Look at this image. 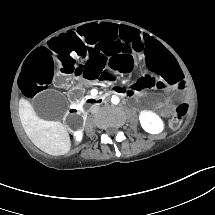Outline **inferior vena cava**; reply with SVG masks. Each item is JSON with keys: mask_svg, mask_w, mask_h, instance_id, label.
Returning a JSON list of instances; mask_svg holds the SVG:
<instances>
[{"mask_svg": "<svg viewBox=\"0 0 215 215\" xmlns=\"http://www.w3.org/2000/svg\"><path fill=\"white\" fill-rule=\"evenodd\" d=\"M100 106L99 105H92L91 108H90V112L91 113H96L98 112Z\"/></svg>", "mask_w": 215, "mask_h": 215, "instance_id": "inferior-vena-cava-1", "label": "inferior vena cava"}]
</instances>
